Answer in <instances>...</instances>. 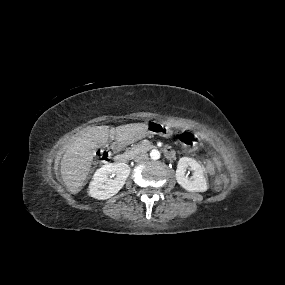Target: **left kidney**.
Instances as JSON below:
<instances>
[{"mask_svg":"<svg viewBox=\"0 0 285 285\" xmlns=\"http://www.w3.org/2000/svg\"><path fill=\"white\" fill-rule=\"evenodd\" d=\"M187 169L193 171L190 179L185 175ZM175 176L178 184L187 191L205 192L207 190L204 167L193 158H180Z\"/></svg>","mask_w":285,"mask_h":285,"instance_id":"5707ae66","label":"left kidney"}]
</instances>
